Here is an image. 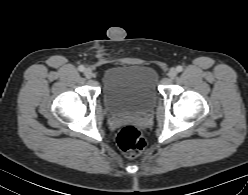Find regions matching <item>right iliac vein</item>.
<instances>
[{
  "mask_svg": "<svg viewBox=\"0 0 248 195\" xmlns=\"http://www.w3.org/2000/svg\"><path fill=\"white\" fill-rule=\"evenodd\" d=\"M84 75L87 77V78H91L93 76V71L90 69V68H87L85 69L84 71Z\"/></svg>",
  "mask_w": 248,
  "mask_h": 195,
  "instance_id": "1",
  "label": "right iliac vein"
}]
</instances>
